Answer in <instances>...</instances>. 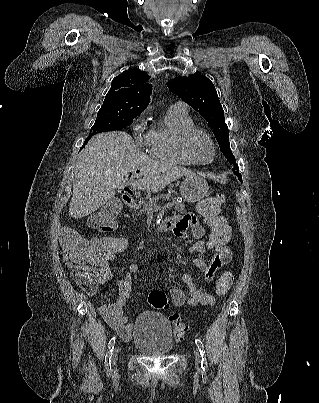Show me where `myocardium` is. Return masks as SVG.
Listing matches in <instances>:
<instances>
[{
    "label": "myocardium",
    "mask_w": 319,
    "mask_h": 403,
    "mask_svg": "<svg viewBox=\"0 0 319 403\" xmlns=\"http://www.w3.org/2000/svg\"><path fill=\"white\" fill-rule=\"evenodd\" d=\"M198 136L204 137L210 143V145L212 147L213 155L209 161H205V162L200 161L193 152V141ZM181 148H182L183 153L188 158H190L194 163L200 164V165H205V164L211 163L215 159L216 154H217L216 145L214 143V140L210 136V134L207 131H205L204 129H201L198 127L190 128L183 133V136L181 139Z\"/></svg>",
    "instance_id": "myocardium-1"
}]
</instances>
